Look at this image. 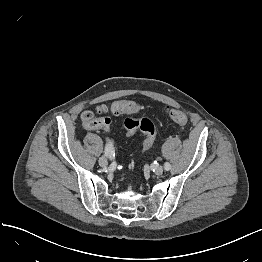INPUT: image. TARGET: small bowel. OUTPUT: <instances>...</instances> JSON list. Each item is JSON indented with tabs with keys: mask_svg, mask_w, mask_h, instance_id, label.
<instances>
[{
	"mask_svg": "<svg viewBox=\"0 0 262 262\" xmlns=\"http://www.w3.org/2000/svg\"><path fill=\"white\" fill-rule=\"evenodd\" d=\"M100 129H104V130H107L108 129V126L104 127V128H100Z\"/></svg>",
	"mask_w": 262,
	"mask_h": 262,
	"instance_id": "small-bowel-1",
	"label": "small bowel"
}]
</instances>
